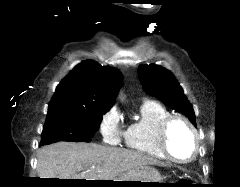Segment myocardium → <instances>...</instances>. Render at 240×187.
<instances>
[{
    "label": "myocardium",
    "mask_w": 240,
    "mask_h": 187,
    "mask_svg": "<svg viewBox=\"0 0 240 187\" xmlns=\"http://www.w3.org/2000/svg\"><path fill=\"white\" fill-rule=\"evenodd\" d=\"M176 122H180V123L184 124L188 128V130L190 131V133L192 135L193 152H192L191 156L187 159L177 158L169 149V145H168L169 132H170L171 127ZM158 144H159V147H160L161 151L163 152V154L168 159H170L171 161L178 163V164H186V163H189V162L195 160L200 151V140H199L197 129L195 128V126L192 124V122L189 119H187L186 117L181 116V115H170L162 121V123L159 127V130H158Z\"/></svg>",
    "instance_id": "f54148a6"
}]
</instances>
